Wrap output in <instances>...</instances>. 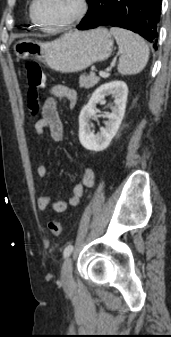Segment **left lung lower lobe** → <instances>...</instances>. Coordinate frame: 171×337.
<instances>
[{
	"mask_svg": "<svg viewBox=\"0 0 171 337\" xmlns=\"http://www.w3.org/2000/svg\"><path fill=\"white\" fill-rule=\"evenodd\" d=\"M162 0H92L77 26L87 30L102 25L129 29L154 43L156 49Z\"/></svg>",
	"mask_w": 171,
	"mask_h": 337,
	"instance_id": "1",
	"label": "left lung lower lobe"
}]
</instances>
